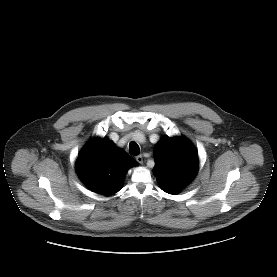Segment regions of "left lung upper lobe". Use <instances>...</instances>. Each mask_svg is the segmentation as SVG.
Instances as JSON below:
<instances>
[{
	"instance_id": "1",
	"label": "left lung upper lobe",
	"mask_w": 277,
	"mask_h": 277,
	"mask_svg": "<svg viewBox=\"0 0 277 277\" xmlns=\"http://www.w3.org/2000/svg\"><path fill=\"white\" fill-rule=\"evenodd\" d=\"M153 155V172L160 187L169 194L180 192L197 174V150L184 137L162 138Z\"/></svg>"
}]
</instances>
